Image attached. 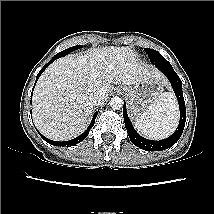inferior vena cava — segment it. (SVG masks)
<instances>
[{
  "label": "inferior vena cava",
  "instance_id": "1",
  "mask_svg": "<svg viewBox=\"0 0 214 214\" xmlns=\"http://www.w3.org/2000/svg\"><path fill=\"white\" fill-rule=\"evenodd\" d=\"M107 93L103 90H95L89 94V101L94 103L95 105H99L104 103L107 100Z\"/></svg>",
  "mask_w": 214,
  "mask_h": 214
}]
</instances>
